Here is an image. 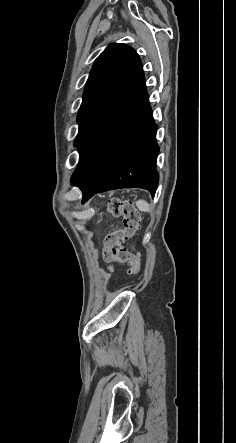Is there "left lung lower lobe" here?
<instances>
[{
    "instance_id": "left-lung-lower-lobe-1",
    "label": "left lung lower lobe",
    "mask_w": 236,
    "mask_h": 443,
    "mask_svg": "<svg viewBox=\"0 0 236 443\" xmlns=\"http://www.w3.org/2000/svg\"><path fill=\"white\" fill-rule=\"evenodd\" d=\"M156 131L141 71L77 143L80 161L72 182L83 193L82 203L118 188H144L154 197L159 181Z\"/></svg>"
}]
</instances>
